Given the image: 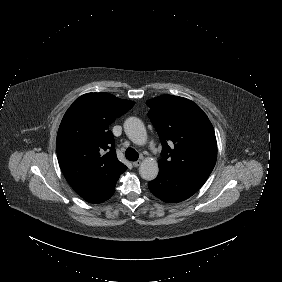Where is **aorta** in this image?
Returning a JSON list of instances; mask_svg holds the SVG:
<instances>
[{
    "mask_svg": "<svg viewBox=\"0 0 282 282\" xmlns=\"http://www.w3.org/2000/svg\"><path fill=\"white\" fill-rule=\"evenodd\" d=\"M124 131L127 137L137 145L147 141V132L144 123L137 117H129L124 122ZM159 172L158 163L153 158H145L139 167L141 178L147 181L154 180Z\"/></svg>",
    "mask_w": 282,
    "mask_h": 282,
    "instance_id": "aorta-1",
    "label": "aorta"
}]
</instances>
